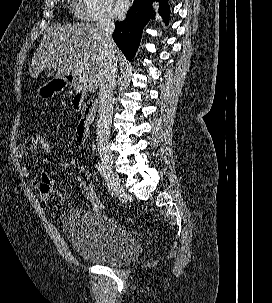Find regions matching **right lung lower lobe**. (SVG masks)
<instances>
[{"label": "right lung lower lobe", "instance_id": "obj_1", "mask_svg": "<svg viewBox=\"0 0 272 303\" xmlns=\"http://www.w3.org/2000/svg\"><path fill=\"white\" fill-rule=\"evenodd\" d=\"M155 0H134L133 6L127 12L126 19L115 23L113 39L127 59L132 60L136 54L142 31L147 21L155 16L152 14V2ZM160 4L161 16L164 22H169L170 9L168 0H156Z\"/></svg>", "mask_w": 272, "mask_h": 303}]
</instances>
